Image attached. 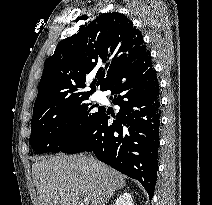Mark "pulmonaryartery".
I'll use <instances>...</instances> for the list:
<instances>
[{
  "instance_id": "obj_1",
  "label": "pulmonary artery",
  "mask_w": 212,
  "mask_h": 205,
  "mask_svg": "<svg viewBox=\"0 0 212 205\" xmlns=\"http://www.w3.org/2000/svg\"><path fill=\"white\" fill-rule=\"evenodd\" d=\"M96 99H97V100H101V99H102V95H101L100 93H97V94H96Z\"/></svg>"
}]
</instances>
